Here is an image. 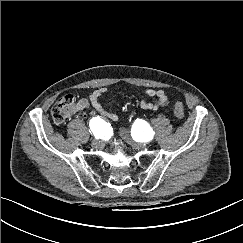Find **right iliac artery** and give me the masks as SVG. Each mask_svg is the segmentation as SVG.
Returning <instances> with one entry per match:
<instances>
[{"mask_svg":"<svg viewBox=\"0 0 243 243\" xmlns=\"http://www.w3.org/2000/svg\"><path fill=\"white\" fill-rule=\"evenodd\" d=\"M106 124L101 118H93L90 121V129L94 136L98 139L101 137L102 131L106 128Z\"/></svg>","mask_w":243,"mask_h":243,"instance_id":"82829eb1","label":"right iliac artery"}]
</instances>
